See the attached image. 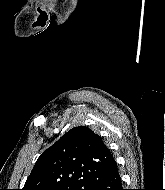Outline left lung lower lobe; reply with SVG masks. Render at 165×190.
I'll list each match as a JSON object with an SVG mask.
<instances>
[{
	"instance_id": "obj_1",
	"label": "left lung lower lobe",
	"mask_w": 165,
	"mask_h": 190,
	"mask_svg": "<svg viewBox=\"0 0 165 190\" xmlns=\"http://www.w3.org/2000/svg\"><path fill=\"white\" fill-rule=\"evenodd\" d=\"M92 190H124L116 162L94 185Z\"/></svg>"
}]
</instances>
